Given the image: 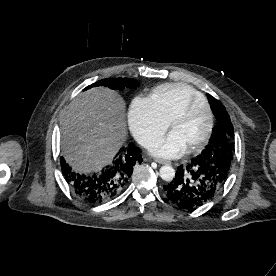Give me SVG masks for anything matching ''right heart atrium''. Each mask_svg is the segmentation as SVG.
<instances>
[{
  "mask_svg": "<svg viewBox=\"0 0 276 276\" xmlns=\"http://www.w3.org/2000/svg\"><path fill=\"white\" fill-rule=\"evenodd\" d=\"M129 123L134 136L145 147L162 137L169 126L154 104L141 97H136L131 103Z\"/></svg>",
  "mask_w": 276,
  "mask_h": 276,
  "instance_id": "1",
  "label": "right heart atrium"
}]
</instances>
